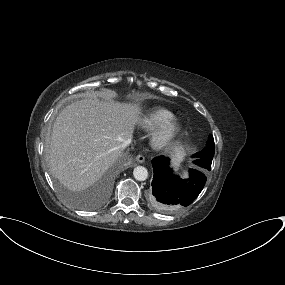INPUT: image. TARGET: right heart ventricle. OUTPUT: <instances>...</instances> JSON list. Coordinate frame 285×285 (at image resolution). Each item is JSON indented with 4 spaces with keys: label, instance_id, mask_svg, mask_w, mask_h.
I'll return each mask as SVG.
<instances>
[{
    "label": "right heart ventricle",
    "instance_id": "obj_1",
    "mask_svg": "<svg viewBox=\"0 0 285 285\" xmlns=\"http://www.w3.org/2000/svg\"><path fill=\"white\" fill-rule=\"evenodd\" d=\"M174 115L165 109H156L141 119V125L148 130L160 129L173 122Z\"/></svg>",
    "mask_w": 285,
    "mask_h": 285
}]
</instances>
